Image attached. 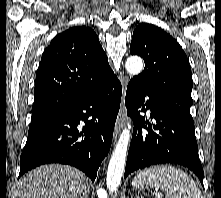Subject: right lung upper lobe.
I'll list each match as a JSON object with an SVG mask.
<instances>
[{
  "instance_id": "cb5924a9",
  "label": "right lung upper lobe",
  "mask_w": 221,
  "mask_h": 198,
  "mask_svg": "<svg viewBox=\"0 0 221 198\" xmlns=\"http://www.w3.org/2000/svg\"><path fill=\"white\" fill-rule=\"evenodd\" d=\"M117 79L95 32L85 26L58 34L36 74L31 122L69 106Z\"/></svg>"
}]
</instances>
